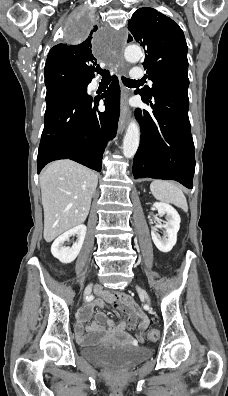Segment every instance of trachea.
Masks as SVG:
<instances>
[{
    "label": "trachea",
    "instance_id": "obj_1",
    "mask_svg": "<svg viewBox=\"0 0 228 396\" xmlns=\"http://www.w3.org/2000/svg\"><path fill=\"white\" fill-rule=\"evenodd\" d=\"M96 72L102 76L101 83L107 84V85L110 83L111 77H110V72L108 70L97 69ZM122 81H123L124 85H126V86H131L136 83H140L139 80L138 81L132 80V79H129L126 77H122Z\"/></svg>",
    "mask_w": 228,
    "mask_h": 396
}]
</instances>
